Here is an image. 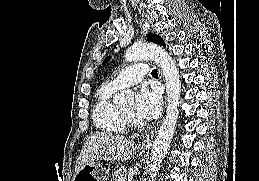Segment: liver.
Segmentation results:
<instances>
[{
	"mask_svg": "<svg viewBox=\"0 0 259 181\" xmlns=\"http://www.w3.org/2000/svg\"><path fill=\"white\" fill-rule=\"evenodd\" d=\"M136 150L134 142L118 134L98 132L89 136L76 161L75 172L95 160L124 161Z\"/></svg>",
	"mask_w": 259,
	"mask_h": 181,
	"instance_id": "obj_1",
	"label": "liver"
}]
</instances>
